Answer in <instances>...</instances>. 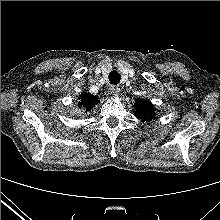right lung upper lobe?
<instances>
[{"mask_svg":"<svg viewBox=\"0 0 220 220\" xmlns=\"http://www.w3.org/2000/svg\"><path fill=\"white\" fill-rule=\"evenodd\" d=\"M78 106L84 108L86 111L93 108V106L99 103L97 96L91 95L87 92H83L79 97Z\"/></svg>","mask_w":220,"mask_h":220,"instance_id":"1","label":"right lung upper lobe"}]
</instances>
